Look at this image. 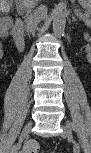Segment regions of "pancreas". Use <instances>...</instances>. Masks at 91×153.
Here are the masks:
<instances>
[{"mask_svg": "<svg viewBox=\"0 0 91 153\" xmlns=\"http://www.w3.org/2000/svg\"><path fill=\"white\" fill-rule=\"evenodd\" d=\"M79 12V11H78ZM82 20H84V22L88 25L89 24V14L88 13H86L85 15H80L79 16Z\"/></svg>", "mask_w": 91, "mask_h": 153, "instance_id": "cf45deb5", "label": "pancreas"}]
</instances>
